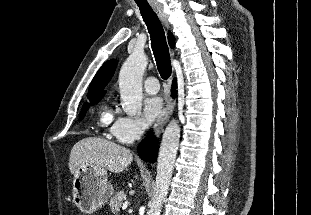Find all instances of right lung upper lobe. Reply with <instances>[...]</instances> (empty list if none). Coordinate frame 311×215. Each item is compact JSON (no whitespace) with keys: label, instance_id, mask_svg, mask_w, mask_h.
Returning a JSON list of instances; mask_svg holds the SVG:
<instances>
[{"label":"right lung upper lobe","instance_id":"1","mask_svg":"<svg viewBox=\"0 0 311 215\" xmlns=\"http://www.w3.org/2000/svg\"><path fill=\"white\" fill-rule=\"evenodd\" d=\"M168 42L170 46L173 48L174 45V36L169 32L168 33ZM117 61L111 60L104 63L101 68L96 73L95 77L93 78L89 91H88V99L91 98H97V97H103L105 94V91H102L104 87L107 85L109 80L114 74V71L116 69Z\"/></svg>","mask_w":311,"mask_h":215}]
</instances>
